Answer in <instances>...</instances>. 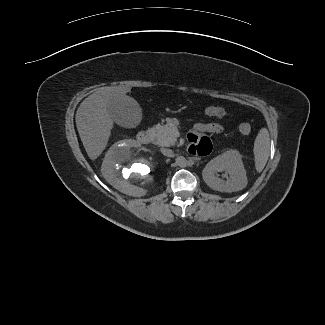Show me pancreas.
I'll use <instances>...</instances> for the list:
<instances>
[{
    "label": "pancreas",
    "instance_id": "cf45deb5",
    "mask_svg": "<svg viewBox=\"0 0 325 325\" xmlns=\"http://www.w3.org/2000/svg\"><path fill=\"white\" fill-rule=\"evenodd\" d=\"M178 126L179 121L177 119H168L165 125L157 124L152 128L153 132L156 134L154 144L162 147L174 145L177 141L175 132Z\"/></svg>",
    "mask_w": 325,
    "mask_h": 325
}]
</instances>
